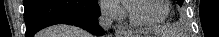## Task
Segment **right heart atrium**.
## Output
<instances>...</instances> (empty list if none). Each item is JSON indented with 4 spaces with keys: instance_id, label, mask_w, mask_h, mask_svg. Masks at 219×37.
Here are the masks:
<instances>
[{
    "instance_id": "obj_1",
    "label": "right heart atrium",
    "mask_w": 219,
    "mask_h": 37,
    "mask_svg": "<svg viewBox=\"0 0 219 37\" xmlns=\"http://www.w3.org/2000/svg\"><path fill=\"white\" fill-rule=\"evenodd\" d=\"M101 5L105 15L110 18L117 19L123 15V9L118 1H104Z\"/></svg>"
}]
</instances>
